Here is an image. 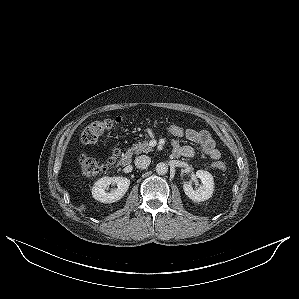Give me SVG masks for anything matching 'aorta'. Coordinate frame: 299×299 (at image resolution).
Listing matches in <instances>:
<instances>
[{"label": "aorta", "instance_id": "aorta-1", "mask_svg": "<svg viewBox=\"0 0 299 299\" xmlns=\"http://www.w3.org/2000/svg\"><path fill=\"white\" fill-rule=\"evenodd\" d=\"M156 172L159 174V175H164L168 172V166L167 164L163 163V162H160L156 165Z\"/></svg>", "mask_w": 299, "mask_h": 299}]
</instances>
